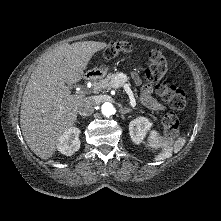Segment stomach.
Returning a JSON list of instances; mask_svg holds the SVG:
<instances>
[{
	"label": "stomach",
	"mask_w": 221,
	"mask_h": 221,
	"mask_svg": "<svg viewBox=\"0 0 221 221\" xmlns=\"http://www.w3.org/2000/svg\"><path fill=\"white\" fill-rule=\"evenodd\" d=\"M108 70H109V67L108 66H106V65H102V66H100L99 68H97L95 71H96V73H99V74H101V75H106V73L108 72Z\"/></svg>",
	"instance_id": "0dacf381"
}]
</instances>
